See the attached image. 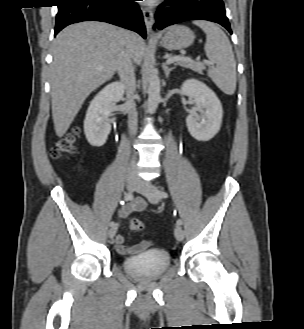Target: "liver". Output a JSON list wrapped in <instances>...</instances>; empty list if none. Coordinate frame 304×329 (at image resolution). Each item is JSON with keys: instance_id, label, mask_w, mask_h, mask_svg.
I'll return each mask as SVG.
<instances>
[{"instance_id": "liver-1", "label": "liver", "mask_w": 304, "mask_h": 329, "mask_svg": "<svg viewBox=\"0 0 304 329\" xmlns=\"http://www.w3.org/2000/svg\"><path fill=\"white\" fill-rule=\"evenodd\" d=\"M126 42L132 59L140 64L143 39L114 25L80 22L57 35L52 49L50 84L52 118L58 137L67 132L89 94L113 77Z\"/></svg>"}]
</instances>
